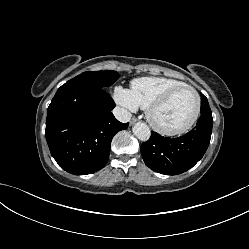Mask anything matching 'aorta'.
Returning <instances> with one entry per match:
<instances>
[{
	"label": "aorta",
	"instance_id": "aorta-1",
	"mask_svg": "<svg viewBox=\"0 0 249 249\" xmlns=\"http://www.w3.org/2000/svg\"><path fill=\"white\" fill-rule=\"evenodd\" d=\"M132 130L134 135L141 141H147L151 136L150 128L143 122L136 123Z\"/></svg>",
	"mask_w": 249,
	"mask_h": 249
}]
</instances>
